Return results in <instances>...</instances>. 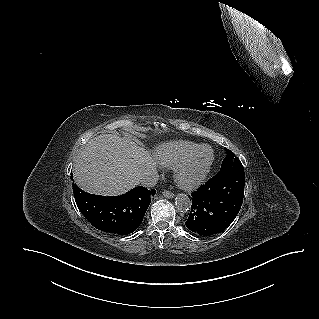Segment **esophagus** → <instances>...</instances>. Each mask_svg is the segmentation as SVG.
Listing matches in <instances>:
<instances>
[{"instance_id": "1", "label": "esophagus", "mask_w": 319, "mask_h": 319, "mask_svg": "<svg viewBox=\"0 0 319 319\" xmlns=\"http://www.w3.org/2000/svg\"><path fill=\"white\" fill-rule=\"evenodd\" d=\"M162 193H163L164 197H167V198H173L175 196L174 193L167 191V190H164Z\"/></svg>"}]
</instances>
